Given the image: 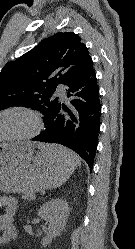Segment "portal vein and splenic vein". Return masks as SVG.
<instances>
[{
	"instance_id": "obj_1",
	"label": "portal vein and splenic vein",
	"mask_w": 135,
	"mask_h": 249,
	"mask_svg": "<svg viewBox=\"0 0 135 249\" xmlns=\"http://www.w3.org/2000/svg\"><path fill=\"white\" fill-rule=\"evenodd\" d=\"M32 199H35V196H32Z\"/></svg>"
}]
</instances>
